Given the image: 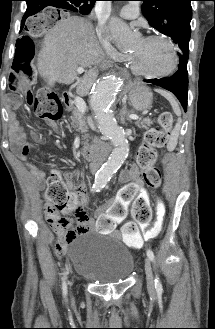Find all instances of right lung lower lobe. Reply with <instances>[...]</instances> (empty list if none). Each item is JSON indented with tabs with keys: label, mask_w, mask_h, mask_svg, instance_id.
<instances>
[{
	"label": "right lung lower lobe",
	"mask_w": 215,
	"mask_h": 329,
	"mask_svg": "<svg viewBox=\"0 0 215 329\" xmlns=\"http://www.w3.org/2000/svg\"><path fill=\"white\" fill-rule=\"evenodd\" d=\"M27 2V10H26V13L22 19V25H21V29L23 28L24 26V22L26 20L27 17L29 16H32L36 13H38L39 11H41L43 8V5L46 3V1H43V0H26ZM59 8H63V9H67V6L63 5V6H60Z\"/></svg>",
	"instance_id": "98d812e1"
}]
</instances>
